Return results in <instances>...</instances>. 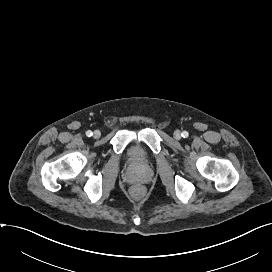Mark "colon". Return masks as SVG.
I'll return each mask as SVG.
<instances>
[{
  "mask_svg": "<svg viewBox=\"0 0 272 272\" xmlns=\"http://www.w3.org/2000/svg\"><path fill=\"white\" fill-rule=\"evenodd\" d=\"M143 193V189L140 186H135L132 188V195L134 197H140Z\"/></svg>",
  "mask_w": 272,
  "mask_h": 272,
  "instance_id": "5ec220e1",
  "label": "colon"
}]
</instances>
